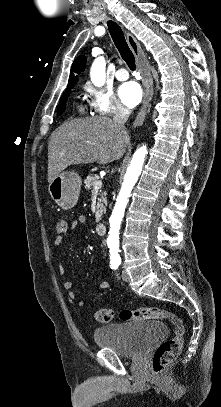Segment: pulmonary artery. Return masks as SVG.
I'll list each match as a JSON object with an SVG mask.
<instances>
[{
    "mask_svg": "<svg viewBox=\"0 0 221 407\" xmlns=\"http://www.w3.org/2000/svg\"><path fill=\"white\" fill-rule=\"evenodd\" d=\"M115 77L117 80L119 81H124L126 79H128L129 75L127 70L124 67L118 68L116 73H115Z\"/></svg>",
    "mask_w": 221,
    "mask_h": 407,
    "instance_id": "pulmonary-artery-1",
    "label": "pulmonary artery"
}]
</instances>
